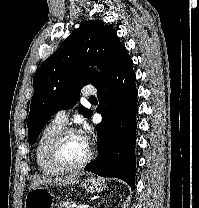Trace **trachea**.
<instances>
[{
  "label": "trachea",
  "mask_w": 199,
  "mask_h": 208,
  "mask_svg": "<svg viewBox=\"0 0 199 208\" xmlns=\"http://www.w3.org/2000/svg\"><path fill=\"white\" fill-rule=\"evenodd\" d=\"M89 101H97L95 97L89 98Z\"/></svg>",
  "instance_id": "obj_1"
}]
</instances>
